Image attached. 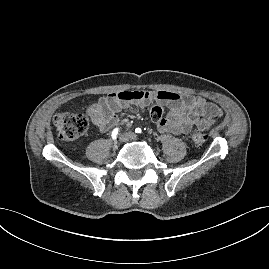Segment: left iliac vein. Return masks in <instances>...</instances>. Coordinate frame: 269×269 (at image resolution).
Returning <instances> with one entry per match:
<instances>
[{"label":"left iliac vein","instance_id":"left-iliac-vein-1","mask_svg":"<svg viewBox=\"0 0 269 269\" xmlns=\"http://www.w3.org/2000/svg\"><path fill=\"white\" fill-rule=\"evenodd\" d=\"M126 136V139L128 140H136L137 139V135L133 132H128L124 134Z\"/></svg>","mask_w":269,"mask_h":269}]
</instances>
